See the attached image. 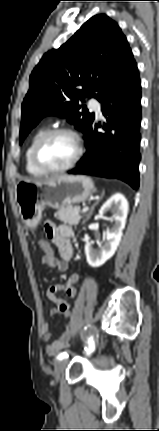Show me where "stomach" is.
<instances>
[{
    "instance_id": "stomach-1",
    "label": "stomach",
    "mask_w": 159,
    "mask_h": 431,
    "mask_svg": "<svg viewBox=\"0 0 159 431\" xmlns=\"http://www.w3.org/2000/svg\"><path fill=\"white\" fill-rule=\"evenodd\" d=\"M95 191L92 179L87 176H58L42 182L22 180L15 187V197L23 222L35 229L46 206L60 209L78 204Z\"/></svg>"
}]
</instances>
